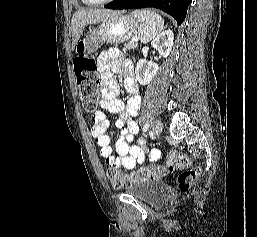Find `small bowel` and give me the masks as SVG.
I'll return each instance as SVG.
<instances>
[{"instance_id":"small-bowel-1","label":"small bowel","mask_w":257,"mask_h":237,"mask_svg":"<svg viewBox=\"0 0 257 237\" xmlns=\"http://www.w3.org/2000/svg\"><path fill=\"white\" fill-rule=\"evenodd\" d=\"M98 67L103 80L100 106L103 110L118 116L115 126L120 129V135L113 149L107 133L109 122L103 111L93 114L91 134L100 148V155L108 165L131 170L145 158V151L140 146L131 144L139 130L133 117L141 104V98L136 94L138 84L134 79L133 64L130 60L124 59L118 49L110 48L99 55ZM112 70L118 71L124 77L125 88L131 94L126 106L117 97L119 85L112 77ZM140 143L143 144L144 140H140ZM150 158L152 161H157L161 158V154L154 149L150 152Z\"/></svg>"}]
</instances>
